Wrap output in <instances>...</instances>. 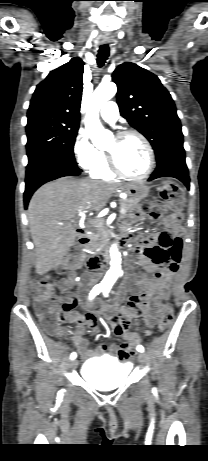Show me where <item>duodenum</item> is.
Returning <instances> with one entry per match:
<instances>
[{"label":"duodenum","instance_id":"obj_1","mask_svg":"<svg viewBox=\"0 0 208 461\" xmlns=\"http://www.w3.org/2000/svg\"><path fill=\"white\" fill-rule=\"evenodd\" d=\"M77 241L80 245L85 246L89 243L90 239L88 234L81 230H77ZM118 240L121 244H125L129 240V236L125 232H121L120 235L118 236ZM106 258V251L103 249L102 251L94 254L87 262V267L91 271H95L100 268V266L104 263ZM84 285L81 286L83 288Z\"/></svg>","mask_w":208,"mask_h":461}]
</instances>
